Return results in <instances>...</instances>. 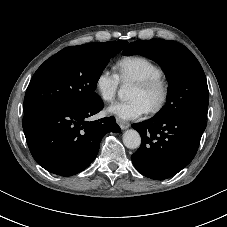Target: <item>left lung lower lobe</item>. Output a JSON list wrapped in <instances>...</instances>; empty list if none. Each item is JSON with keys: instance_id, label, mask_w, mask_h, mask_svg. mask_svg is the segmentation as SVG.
I'll return each mask as SVG.
<instances>
[{"instance_id": "left-lung-lower-lobe-1", "label": "left lung lower lobe", "mask_w": 227, "mask_h": 227, "mask_svg": "<svg viewBox=\"0 0 227 227\" xmlns=\"http://www.w3.org/2000/svg\"><path fill=\"white\" fill-rule=\"evenodd\" d=\"M206 125V121L188 115L152 117L132 124L142 138L132 155L135 168L155 180L174 176L195 157Z\"/></svg>"}]
</instances>
